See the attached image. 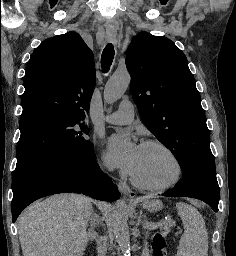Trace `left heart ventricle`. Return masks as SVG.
Returning <instances> with one entry per match:
<instances>
[{
	"label": "left heart ventricle",
	"instance_id": "left-heart-ventricle-1",
	"mask_svg": "<svg viewBox=\"0 0 236 256\" xmlns=\"http://www.w3.org/2000/svg\"><path fill=\"white\" fill-rule=\"evenodd\" d=\"M130 173L144 185L158 186L169 182L175 176L176 165L161 148L141 146Z\"/></svg>",
	"mask_w": 236,
	"mask_h": 256
}]
</instances>
